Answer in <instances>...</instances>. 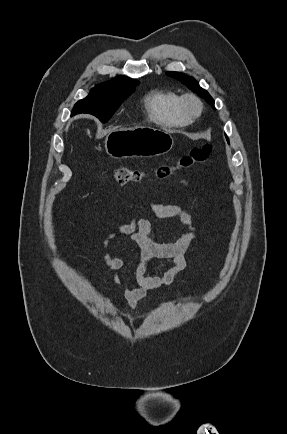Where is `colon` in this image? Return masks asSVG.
Instances as JSON below:
<instances>
[{
    "label": "colon",
    "mask_w": 287,
    "mask_h": 434,
    "mask_svg": "<svg viewBox=\"0 0 287 434\" xmlns=\"http://www.w3.org/2000/svg\"><path fill=\"white\" fill-rule=\"evenodd\" d=\"M211 153V146L204 144L192 148L189 153L181 157L176 167L161 165L156 170V176L160 179L171 178L177 169H189L196 164L205 163ZM144 172L139 168L117 167L113 170L114 179L122 184L129 185L141 182L144 179Z\"/></svg>",
    "instance_id": "5ec220e1"
}]
</instances>
